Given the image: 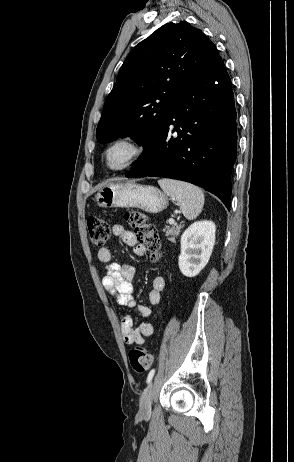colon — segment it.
<instances>
[{
  "label": "colon",
  "mask_w": 294,
  "mask_h": 462,
  "mask_svg": "<svg viewBox=\"0 0 294 462\" xmlns=\"http://www.w3.org/2000/svg\"><path fill=\"white\" fill-rule=\"evenodd\" d=\"M125 219L133 229L137 242L150 253L151 259L157 261L161 257L160 239L156 227L149 222L147 216L140 212H129ZM87 227L91 242L96 246H103L110 237L109 224L100 217H90ZM129 361L132 368L143 373L153 362V355L147 348L135 346L129 351Z\"/></svg>",
  "instance_id": "colon-1"
}]
</instances>
